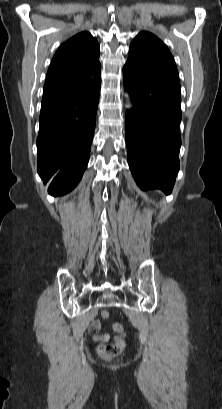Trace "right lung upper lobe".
Returning a JSON list of instances; mask_svg holds the SVG:
<instances>
[{"label": "right lung upper lobe", "mask_w": 222, "mask_h": 409, "mask_svg": "<svg viewBox=\"0 0 222 409\" xmlns=\"http://www.w3.org/2000/svg\"><path fill=\"white\" fill-rule=\"evenodd\" d=\"M100 47L89 32H81L63 43L55 53L44 85V99L80 92L101 71Z\"/></svg>", "instance_id": "obj_1"}]
</instances>
